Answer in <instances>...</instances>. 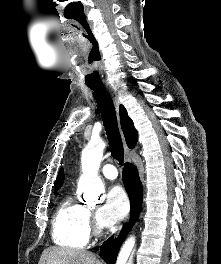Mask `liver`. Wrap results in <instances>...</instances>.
Segmentation results:
<instances>
[{
  "label": "liver",
  "instance_id": "1",
  "mask_svg": "<svg viewBox=\"0 0 221 264\" xmlns=\"http://www.w3.org/2000/svg\"><path fill=\"white\" fill-rule=\"evenodd\" d=\"M38 264H102L89 251L50 247L43 251Z\"/></svg>",
  "mask_w": 221,
  "mask_h": 264
}]
</instances>
